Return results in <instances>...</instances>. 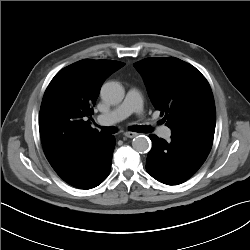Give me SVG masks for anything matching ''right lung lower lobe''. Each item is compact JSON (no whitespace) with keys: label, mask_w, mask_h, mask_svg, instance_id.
I'll return each mask as SVG.
<instances>
[{"label":"right lung lower lobe","mask_w":250,"mask_h":250,"mask_svg":"<svg viewBox=\"0 0 250 250\" xmlns=\"http://www.w3.org/2000/svg\"><path fill=\"white\" fill-rule=\"evenodd\" d=\"M114 146L113 135L100 134L49 163L68 184L80 189H91L109 175Z\"/></svg>","instance_id":"98d812e1"}]
</instances>
